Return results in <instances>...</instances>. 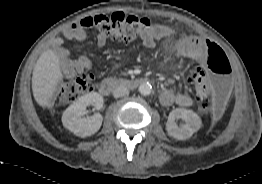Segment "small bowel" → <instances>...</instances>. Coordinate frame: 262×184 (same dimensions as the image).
Returning <instances> with one entry per match:
<instances>
[{
  "instance_id": "c3829d8e",
  "label": "small bowel",
  "mask_w": 262,
  "mask_h": 184,
  "mask_svg": "<svg viewBox=\"0 0 262 184\" xmlns=\"http://www.w3.org/2000/svg\"><path fill=\"white\" fill-rule=\"evenodd\" d=\"M172 34L171 28L162 24H155L141 36L142 44L146 48H155L157 41L170 37ZM63 36L66 39H74L77 41H85L86 34L80 24H72L63 31ZM107 42V37L98 34L96 37V44L103 46ZM206 41L196 37L187 36L179 39L175 45L176 55L188 59L195 60L206 66L209 61L204 53V45ZM57 53L61 60L62 71L65 76L72 77L78 73L89 71L92 69L93 63L91 59L86 56H81L75 60L69 58V52L62 47V40L58 39ZM160 102L164 106H171L176 104L180 107L188 108L195 105L194 99L186 93H176L170 89L164 90L160 95Z\"/></svg>"
}]
</instances>
